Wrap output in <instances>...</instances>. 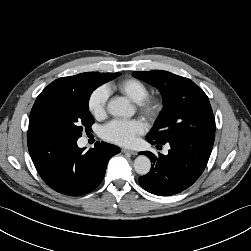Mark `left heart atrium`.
<instances>
[{
	"mask_svg": "<svg viewBox=\"0 0 251 251\" xmlns=\"http://www.w3.org/2000/svg\"><path fill=\"white\" fill-rule=\"evenodd\" d=\"M145 129L144 122L139 119L112 120L102 128L101 135L109 142L130 146Z\"/></svg>",
	"mask_w": 251,
	"mask_h": 251,
	"instance_id": "left-heart-atrium-1",
	"label": "left heart atrium"
}]
</instances>
